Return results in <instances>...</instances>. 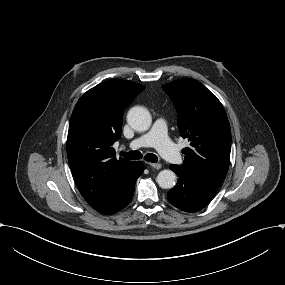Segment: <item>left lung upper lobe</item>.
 <instances>
[{
	"label": "left lung upper lobe",
	"instance_id": "obj_1",
	"mask_svg": "<svg viewBox=\"0 0 285 285\" xmlns=\"http://www.w3.org/2000/svg\"><path fill=\"white\" fill-rule=\"evenodd\" d=\"M178 113V128L190 148L184 150L182 166L191 178L217 189L229 167L231 130L217 97L191 78L162 85Z\"/></svg>",
	"mask_w": 285,
	"mask_h": 285
}]
</instances>
